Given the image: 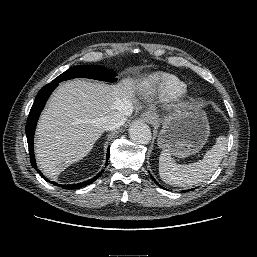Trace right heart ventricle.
Returning a JSON list of instances; mask_svg holds the SVG:
<instances>
[{"instance_id": "obj_1", "label": "right heart ventricle", "mask_w": 257, "mask_h": 257, "mask_svg": "<svg viewBox=\"0 0 257 257\" xmlns=\"http://www.w3.org/2000/svg\"><path fill=\"white\" fill-rule=\"evenodd\" d=\"M153 94L161 98H173L186 90V84L171 74H158L151 81Z\"/></svg>"}]
</instances>
